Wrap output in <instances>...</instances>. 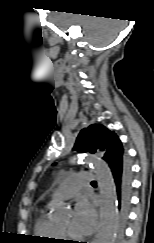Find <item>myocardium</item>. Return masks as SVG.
Wrapping results in <instances>:
<instances>
[{"label": "myocardium", "mask_w": 154, "mask_h": 243, "mask_svg": "<svg viewBox=\"0 0 154 243\" xmlns=\"http://www.w3.org/2000/svg\"><path fill=\"white\" fill-rule=\"evenodd\" d=\"M58 230H59V233H60L61 237L64 238V239L67 238L70 235L69 232H66V231L62 230L59 227H58Z\"/></svg>", "instance_id": "f54148a6"}]
</instances>
